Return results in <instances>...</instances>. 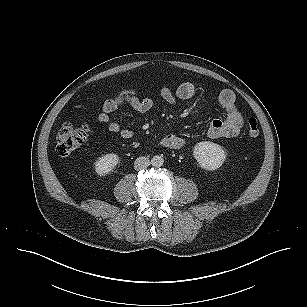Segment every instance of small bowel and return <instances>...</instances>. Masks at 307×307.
Returning <instances> with one entry per match:
<instances>
[{"mask_svg":"<svg viewBox=\"0 0 307 307\" xmlns=\"http://www.w3.org/2000/svg\"><path fill=\"white\" fill-rule=\"evenodd\" d=\"M162 98L170 104L178 100H189L195 94V86L190 82H184L178 86L176 91L168 87H163L160 91ZM218 102L225 111L224 119H213L208 128V135L211 138H233L236 137L243 125V117L238 111L235 103V95L231 90L225 89L219 93ZM127 105L138 113H147L154 106L153 97L140 98L138 91L133 88L120 90L113 98L106 100L98 114V121L102 125L122 139L128 140L132 137V132L123 129L113 121L110 114L119 107ZM161 145L169 149H179L184 145V139L174 134H168L161 139Z\"/></svg>","mask_w":307,"mask_h":307,"instance_id":"small-bowel-1","label":"small bowel"}]
</instances>
